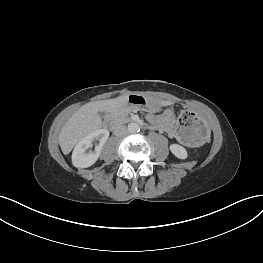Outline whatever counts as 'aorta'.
I'll return each instance as SVG.
<instances>
[{
	"mask_svg": "<svg viewBox=\"0 0 263 263\" xmlns=\"http://www.w3.org/2000/svg\"><path fill=\"white\" fill-rule=\"evenodd\" d=\"M139 130H140V126L137 123L132 122L128 124V132L134 134V133L139 132Z\"/></svg>",
	"mask_w": 263,
	"mask_h": 263,
	"instance_id": "obj_1",
	"label": "aorta"
}]
</instances>
